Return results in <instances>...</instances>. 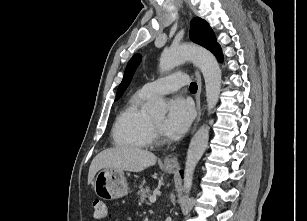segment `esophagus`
<instances>
[{
  "mask_svg": "<svg viewBox=\"0 0 307 221\" xmlns=\"http://www.w3.org/2000/svg\"><path fill=\"white\" fill-rule=\"evenodd\" d=\"M195 75H196V79H197V83H198V89H197V93L195 96L196 99V109H197V118L196 121L194 123V126L192 128V132L195 131L197 124L200 121L201 118V114H202V107H201V91H202V81H201V75L199 73V71L196 69L195 70ZM178 157L177 156H173V157H167L164 160V166L168 167V168H176L178 167Z\"/></svg>",
  "mask_w": 307,
  "mask_h": 221,
  "instance_id": "esophagus-1",
  "label": "esophagus"
}]
</instances>
